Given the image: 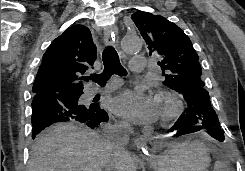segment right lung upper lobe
I'll return each instance as SVG.
<instances>
[{
	"label": "right lung upper lobe",
	"mask_w": 245,
	"mask_h": 171,
	"mask_svg": "<svg viewBox=\"0 0 245 171\" xmlns=\"http://www.w3.org/2000/svg\"><path fill=\"white\" fill-rule=\"evenodd\" d=\"M97 49L90 30L74 25L57 37L42 57L33 93L56 94L67 90H83L90 70L96 60Z\"/></svg>",
	"instance_id": "obj_1"
}]
</instances>
